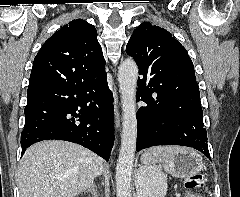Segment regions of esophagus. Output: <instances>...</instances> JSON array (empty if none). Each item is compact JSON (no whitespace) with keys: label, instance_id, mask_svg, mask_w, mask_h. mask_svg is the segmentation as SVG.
I'll use <instances>...</instances> for the list:
<instances>
[{"label":"esophagus","instance_id":"1","mask_svg":"<svg viewBox=\"0 0 240 197\" xmlns=\"http://www.w3.org/2000/svg\"><path fill=\"white\" fill-rule=\"evenodd\" d=\"M114 114H115V126L116 128H120V113H119V107H118V96L115 93V101H114Z\"/></svg>","mask_w":240,"mask_h":197}]
</instances>
